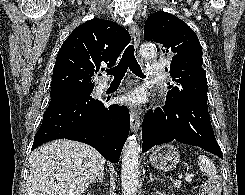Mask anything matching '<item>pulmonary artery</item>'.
<instances>
[{
	"instance_id": "e3ab8cb5",
	"label": "pulmonary artery",
	"mask_w": 245,
	"mask_h": 195,
	"mask_svg": "<svg viewBox=\"0 0 245 195\" xmlns=\"http://www.w3.org/2000/svg\"><path fill=\"white\" fill-rule=\"evenodd\" d=\"M157 66L158 64H151L148 68V76L152 77L153 75L157 74ZM107 87V83L102 85V89Z\"/></svg>"
}]
</instances>
